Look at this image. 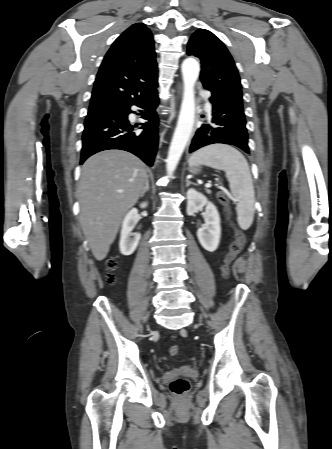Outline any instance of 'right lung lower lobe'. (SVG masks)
<instances>
[{
  "label": "right lung lower lobe",
  "instance_id": "right-lung-lower-lobe-1",
  "mask_svg": "<svg viewBox=\"0 0 332 449\" xmlns=\"http://www.w3.org/2000/svg\"><path fill=\"white\" fill-rule=\"evenodd\" d=\"M159 99L157 90L150 95L134 100L121 107L88 114L82 136V164L91 155L108 149H120L131 152L152 166L158 147V115L155 111ZM131 106L140 108L145 123H141L142 132H133L134 127L128 121V115L134 113Z\"/></svg>",
  "mask_w": 332,
  "mask_h": 449
}]
</instances>
